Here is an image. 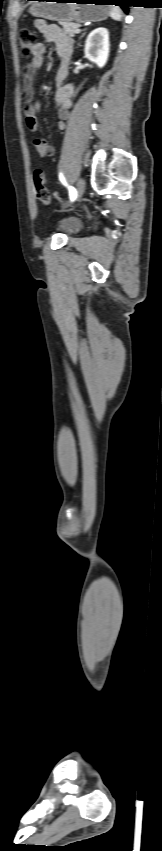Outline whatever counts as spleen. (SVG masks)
Wrapping results in <instances>:
<instances>
[{
    "label": "spleen",
    "instance_id": "1",
    "mask_svg": "<svg viewBox=\"0 0 162 851\" xmlns=\"http://www.w3.org/2000/svg\"><path fill=\"white\" fill-rule=\"evenodd\" d=\"M110 8H111V11H110V17H111L113 20L120 21V20H121V18H122V11H121V9H120L119 7H116V6H110Z\"/></svg>",
    "mask_w": 162,
    "mask_h": 851
}]
</instances>
